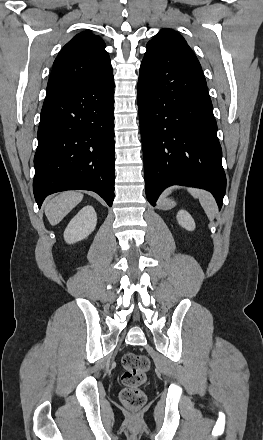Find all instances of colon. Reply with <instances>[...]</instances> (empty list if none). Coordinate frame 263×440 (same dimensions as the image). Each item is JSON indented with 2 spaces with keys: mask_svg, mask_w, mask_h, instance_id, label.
Instances as JSON below:
<instances>
[{
  "mask_svg": "<svg viewBox=\"0 0 263 440\" xmlns=\"http://www.w3.org/2000/svg\"><path fill=\"white\" fill-rule=\"evenodd\" d=\"M122 368L120 378L123 388L120 391V401L129 409L139 410L147 401L141 387L146 381L150 361L143 354L128 352L122 358Z\"/></svg>",
  "mask_w": 263,
  "mask_h": 440,
  "instance_id": "obj_1",
  "label": "colon"
}]
</instances>
